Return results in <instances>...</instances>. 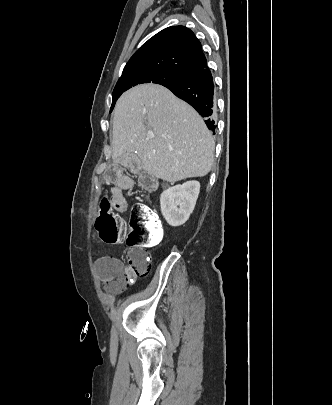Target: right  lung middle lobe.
I'll return each mask as SVG.
<instances>
[{
    "label": "right lung middle lobe",
    "mask_w": 332,
    "mask_h": 405,
    "mask_svg": "<svg viewBox=\"0 0 332 405\" xmlns=\"http://www.w3.org/2000/svg\"><path fill=\"white\" fill-rule=\"evenodd\" d=\"M183 78L184 77L181 75L156 70H139L123 74L114 88L110 112L114 108V105L121 94L135 85L143 83H156L167 87L171 84L177 83Z\"/></svg>",
    "instance_id": "1"
}]
</instances>
